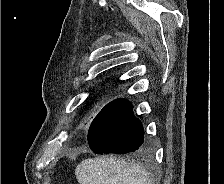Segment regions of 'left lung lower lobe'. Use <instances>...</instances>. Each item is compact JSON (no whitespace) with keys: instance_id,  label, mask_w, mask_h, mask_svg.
<instances>
[{"instance_id":"obj_1","label":"left lung lower lobe","mask_w":224,"mask_h":184,"mask_svg":"<svg viewBox=\"0 0 224 184\" xmlns=\"http://www.w3.org/2000/svg\"><path fill=\"white\" fill-rule=\"evenodd\" d=\"M88 144L97 154H125L145 149L142 123L126 99H116L102 108L92 121Z\"/></svg>"}]
</instances>
